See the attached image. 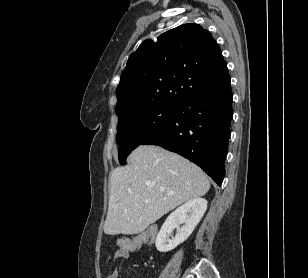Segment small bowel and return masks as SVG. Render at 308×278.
Wrapping results in <instances>:
<instances>
[{
	"label": "small bowel",
	"instance_id": "small-bowel-1",
	"mask_svg": "<svg viewBox=\"0 0 308 278\" xmlns=\"http://www.w3.org/2000/svg\"><path fill=\"white\" fill-rule=\"evenodd\" d=\"M130 254L128 250H119V248L111 255L108 256L107 258V262L110 259H115V260H119V259H127L130 257ZM105 278H119V270L116 267L115 269H113V271L106 276ZM145 278V277H144Z\"/></svg>",
	"mask_w": 308,
	"mask_h": 278
}]
</instances>
